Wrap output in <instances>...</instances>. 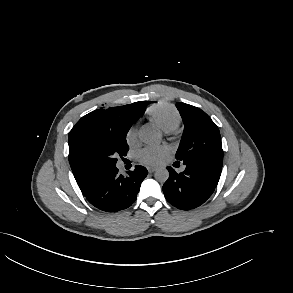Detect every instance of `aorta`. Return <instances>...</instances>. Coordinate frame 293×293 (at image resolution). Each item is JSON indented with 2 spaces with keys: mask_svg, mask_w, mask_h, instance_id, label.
<instances>
[{
  "mask_svg": "<svg viewBox=\"0 0 293 293\" xmlns=\"http://www.w3.org/2000/svg\"><path fill=\"white\" fill-rule=\"evenodd\" d=\"M139 138L146 144L157 145L162 140V134L154 127L146 126L140 130ZM154 177L158 182L164 183L169 178V172L166 168H159L155 171Z\"/></svg>",
  "mask_w": 293,
  "mask_h": 293,
  "instance_id": "aorta-1",
  "label": "aorta"
}]
</instances>
